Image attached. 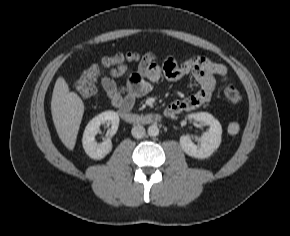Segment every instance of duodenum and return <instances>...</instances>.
<instances>
[{"instance_id": "duodenum-1", "label": "duodenum", "mask_w": 290, "mask_h": 236, "mask_svg": "<svg viewBox=\"0 0 290 236\" xmlns=\"http://www.w3.org/2000/svg\"><path fill=\"white\" fill-rule=\"evenodd\" d=\"M121 117L132 124H150L161 121V116L155 113L137 114L131 112H120Z\"/></svg>"}]
</instances>
